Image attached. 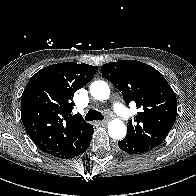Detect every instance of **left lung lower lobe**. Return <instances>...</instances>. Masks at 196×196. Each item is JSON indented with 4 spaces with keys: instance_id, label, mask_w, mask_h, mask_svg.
Returning a JSON list of instances; mask_svg holds the SVG:
<instances>
[{
    "instance_id": "1",
    "label": "left lung lower lobe",
    "mask_w": 196,
    "mask_h": 196,
    "mask_svg": "<svg viewBox=\"0 0 196 196\" xmlns=\"http://www.w3.org/2000/svg\"><path fill=\"white\" fill-rule=\"evenodd\" d=\"M118 145L121 150L125 151L126 153L132 155V154H142L149 152L152 150V148L136 143L132 141L131 139L124 138L123 140L118 142Z\"/></svg>"
}]
</instances>
